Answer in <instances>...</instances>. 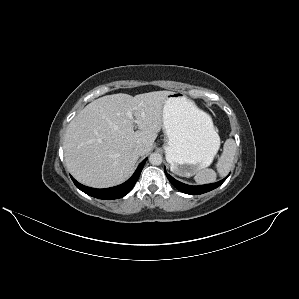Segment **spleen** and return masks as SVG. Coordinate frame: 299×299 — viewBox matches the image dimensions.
<instances>
[{"label": "spleen", "instance_id": "spleen-1", "mask_svg": "<svg viewBox=\"0 0 299 299\" xmlns=\"http://www.w3.org/2000/svg\"><path fill=\"white\" fill-rule=\"evenodd\" d=\"M236 153L235 141L231 138L227 139L223 146V152L216 164L220 176H226L232 165ZM217 174L213 169H203L196 173L194 179L198 184H208L216 181Z\"/></svg>", "mask_w": 299, "mask_h": 299}]
</instances>
